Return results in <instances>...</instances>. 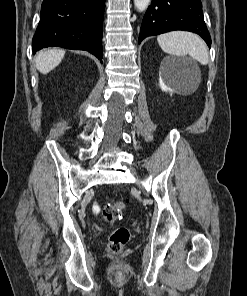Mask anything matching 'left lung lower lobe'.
Listing matches in <instances>:
<instances>
[{
  "instance_id": "1",
  "label": "left lung lower lobe",
  "mask_w": 247,
  "mask_h": 296,
  "mask_svg": "<svg viewBox=\"0 0 247 296\" xmlns=\"http://www.w3.org/2000/svg\"><path fill=\"white\" fill-rule=\"evenodd\" d=\"M172 30L197 33L211 46L200 0H152L142 21L139 44L148 36Z\"/></svg>"
}]
</instances>
